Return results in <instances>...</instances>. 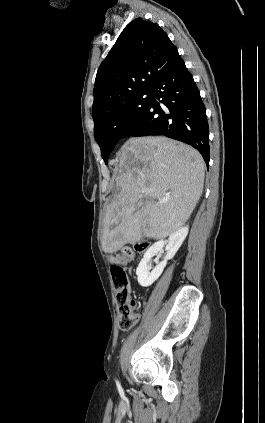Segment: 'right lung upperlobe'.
Segmentation results:
<instances>
[{
	"label": "right lung upper lobe",
	"instance_id": "cb5924a9",
	"mask_svg": "<svg viewBox=\"0 0 265 423\" xmlns=\"http://www.w3.org/2000/svg\"><path fill=\"white\" fill-rule=\"evenodd\" d=\"M177 54V48L157 24L141 18L131 21L98 69L94 121L123 99L150 90Z\"/></svg>",
	"mask_w": 265,
	"mask_h": 423
}]
</instances>
